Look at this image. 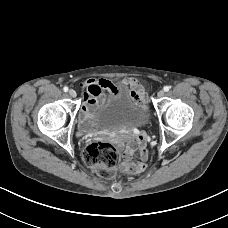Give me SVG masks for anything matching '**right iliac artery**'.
Returning <instances> with one entry per match:
<instances>
[{"label": "right iliac artery", "instance_id": "82829eb1", "mask_svg": "<svg viewBox=\"0 0 228 228\" xmlns=\"http://www.w3.org/2000/svg\"><path fill=\"white\" fill-rule=\"evenodd\" d=\"M63 90H64V92H67V91H68V87L65 86V87L63 88Z\"/></svg>", "mask_w": 228, "mask_h": 228}]
</instances>
